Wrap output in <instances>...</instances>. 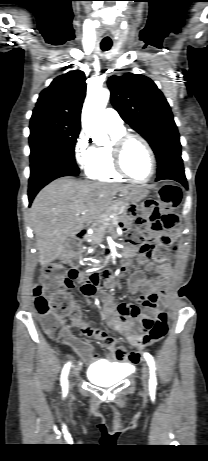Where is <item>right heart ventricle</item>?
<instances>
[{
    "label": "right heart ventricle",
    "mask_w": 208,
    "mask_h": 461,
    "mask_svg": "<svg viewBox=\"0 0 208 461\" xmlns=\"http://www.w3.org/2000/svg\"><path fill=\"white\" fill-rule=\"evenodd\" d=\"M108 132L113 142L116 138L123 135L125 130L124 128L108 129ZM111 143L104 146L92 147L89 161L85 166V174L88 178L102 182H122L125 180L114 168Z\"/></svg>",
    "instance_id": "right-heart-ventricle-1"
}]
</instances>
